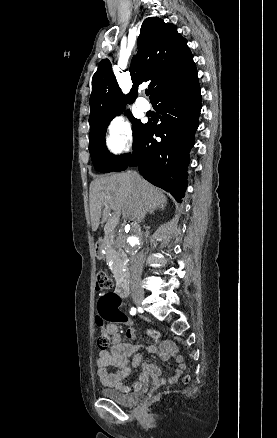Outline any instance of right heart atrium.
Wrapping results in <instances>:
<instances>
[{
    "mask_svg": "<svg viewBox=\"0 0 277 438\" xmlns=\"http://www.w3.org/2000/svg\"><path fill=\"white\" fill-rule=\"evenodd\" d=\"M108 140L110 145L117 151H125L132 144V129L129 120L120 115L117 116L108 127Z\"/></svg>",
    "mask_w": 277,
    "mask_h": 438,
    "instance_id": "right-heart-atrium-1",
    "label": "right heart atrium"
}]
</instances>
